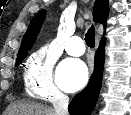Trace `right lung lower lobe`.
I'll return each instance as SVG.
<instances>
[{"label": "right lung lower lobe", "instance_id": "1", "mask_svg": "<svg viewBox=\"0 0 131 115\" xmlns=\"http://www.w3.org/2000/svg\"><path fill=\"white\" fill-rule=\"evenodd\" d=\"M105 38L102 39L100 46L95 54L94 72L89 80L87 87L77 94L69 105L71 115H90L98 99L102 72L104 65Z\"/></svg>", "mask_w": 131, "mask_h": 115}]
</instances>
